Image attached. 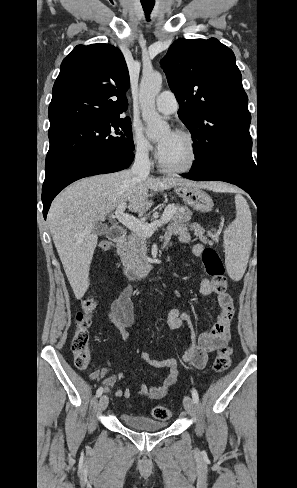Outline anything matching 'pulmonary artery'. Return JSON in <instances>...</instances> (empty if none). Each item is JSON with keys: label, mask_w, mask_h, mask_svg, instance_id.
<instances>
[{"label": "pulmonary artery", "mask_w": 297, "mask_h": 488, "mask_svg": "<svg viewBox=\"0 0 297 488\" xmlns=\"http://www.w3.org/2000/svg\"><path fill=\"white\" fill-rule=\"evenodd\" d=\"M156 109L165 115L173 114L178 110L177 99L173 92L164 91L156 99Z\"/></svg>", "instance_id": "pulmonary-artery-1"}]
</instances>
